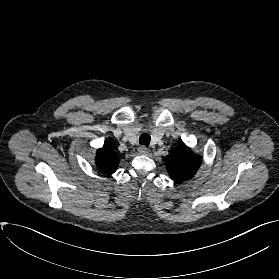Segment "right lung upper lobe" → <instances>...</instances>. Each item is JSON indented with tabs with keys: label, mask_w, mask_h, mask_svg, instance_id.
<instances>
[{
	"label": "right lung upper lobe",
	"mask_w": 279,
	"mask_h": 279,
	"mask_svg": "<svg viewBox=\"0 0 279 279\" xmlns=\"http://www.w3.org/2000/svg\"><path fill=\"white\" fill-rule=\"evenodd\" d=\"M95 163L98 169L104 174H112L116 171L119 158L110 146L97 150Z\"/></svg>",
	"instance_id": "obj_1"
}]
</instances>
